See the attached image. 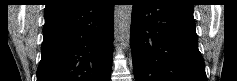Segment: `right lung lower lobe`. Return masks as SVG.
Wrapping results in <instances>:
<instances>
[{
    "mask_svg": "<svg viewBox=\"0 0 237 81\" xmlns=\"http://www.w3.org/2000/svg\"><path fill=\"white\" fill-rule=\"evenodd\" d=\"M37 81H109L114 4L77 0L44 13Z\"/></svg>",
    "mask_w": 237,
    "mask_h": 81,
    "instance_id": "right-lung-lower-lobe-1",
    "label": "right lung lower lobe"
}]
</instances>
